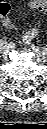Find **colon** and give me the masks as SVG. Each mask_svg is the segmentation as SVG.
Returning a JSON list of instances; mask_svg holds the SVG:
<instances>
[{"label":"colon","mask_w":47,"mask_h":129,"mask_svg":"<svg viewBox=\"0 0 47 129\" xmlns=\"http://www.w3.org/2000/svg\"><path fill=\"white\" fill-rule=\"evenodd\" d=\"M30 7L35 10V11H44L47 8V1L46 0H30L29 2ZM10 7L6 3H1L0 4V17L2 20L3 25L5 28L8 30H11L13 28L12 22L10 20ZM24 41L26 43L30 42V38L25 36Z\"/></svg>","instance_id":"5ec220e1"}]
</instances>
